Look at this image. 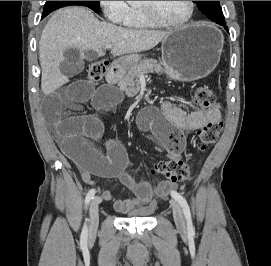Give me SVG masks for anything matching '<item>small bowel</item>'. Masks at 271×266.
<instances>
[{"instance_id":"c3829d8e","label":"small bowel","mask_w":271,"mask_h":266,"mask_svg":"<svg viewBox=\"0 0 271 266\" xmlns=\"http://www.w3.org/2000/svg\"><path fill=\"white\" fill-rule=\"evenodd\" d=\"M83 61L69 58L61 66L64 79H69L81 72ZM122 100L121 94L110 86L95 89L86 80L66 82L59 89L51 92L44 103L46 119L54 129V134L62 151L77 165L85 183L93 184V177L116 178L133 194L130 199L117 200L114 207L118 212L127 213L141 206H153V198L166 194L175 186V182L163 181L152 185L147 181H138L127 173L129 164L127 151L115 139L105 143L106 152H102L86 139L101 141L106 136V127L96 114L79 117H66L65 110L77 103L90 101L97 110L111 109ZM161 117L155 116V110L145 109L138 118L142 130H152L160 141L169 158H177L186 145V135L201 129L208 120L220 119V109L215 107L211 113L200 110L186 112L184 109L165 101L161 104ZM104 200H112L111 191H103Z\"/></svg>"}]
</instances>
